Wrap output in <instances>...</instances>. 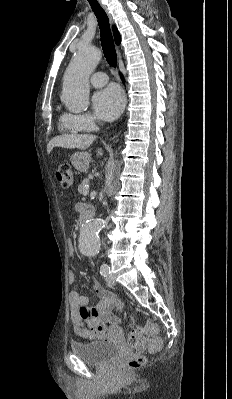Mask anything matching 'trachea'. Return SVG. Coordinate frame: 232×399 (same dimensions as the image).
Returning <instances> with one entry per match:
<instances>
[{
	"label": "trachea",
	"instance_id": "1",
	"mask_svg": "<svg viewBox=\"0 0 232 399\" xmlns=\"http://www.w3.org/2000/svg\"><path fill=\"white\" fill-rule=\"evenodd\" d=\"M93 12L98 19L100 28V40L104 56L111 67L117 65V54L114 47L113 37L110 30L109 18L97 0H88Z\"/></svg>",
	"mask_w": 232,
	"mask_h": 399
}]
</instances>
